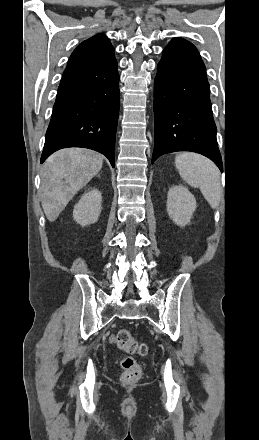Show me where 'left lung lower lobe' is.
<instances>
[{
	"mask_svg": "<svg viewBox=\"0 0 259 440\" xmlns=\"http://www.w3.org/2000/svg\"><path fill=\"white\" fill-rule=\"evenodd\" d=\"M157 70L152 163L167 153L192 151L208 157L222 171L210 86L199 52L192 43L174 38L163 50Z\"/></svg>",
	"mask_w": 259,
	"mask_h": 440,
	"instance_id": "1",
	"label": "left lung lower lobe"
}]
</instances>
